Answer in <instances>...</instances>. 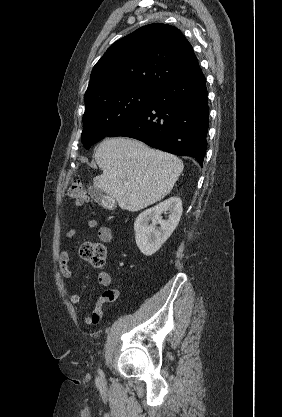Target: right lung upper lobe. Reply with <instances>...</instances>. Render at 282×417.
Here are the masks:
<instances>
[{
	"label": "right lung upper lobe",
	"mask_w": 282,
	"mask_h": 417,
	"mask_svg": "<svg viewBox=\"0 0 282 417\" xmlns=\"http://www.w3.org/2000/svg\"><path fill=\"white\" fill-rule=\"evenodd\" d=\"M198 68L192 46L179 29L146 25L107 49L93 67L84 98L127 88L157 90Z\"/></svg>",
	"instance_id": "1"
}]
</instances>
